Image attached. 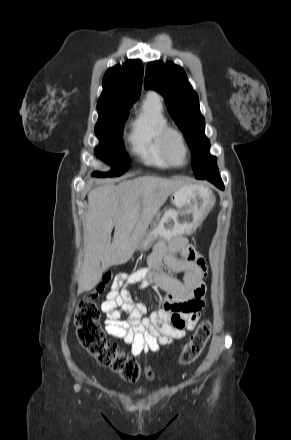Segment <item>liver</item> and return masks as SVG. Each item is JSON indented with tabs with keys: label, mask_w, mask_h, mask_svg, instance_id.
I'll return each instance as SVG.
<instances>
[{
	"label": "liver",
	"mask_w": 291,
	"mask_h": 440,
	"mask_svg": "<svg viewBox=\"0 0 291 440\" xmlns=\"http://www.w3.org/2000/svg\"><path fill=\"white\" fill-rule=\"evenodd\" d=\"M184 183L142 176L92 189L84 219V262L78 291H90L110 266L126 263L168 196ZM114 239L111 242V232Z\"/></svg>",
	"instance_id": "liver-1"
}]
</instances>
